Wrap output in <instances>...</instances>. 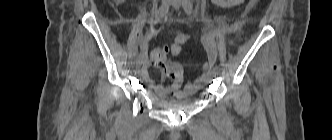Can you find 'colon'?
I'll return each mask as SVG.
<instances>
[{"label": "colon", "mask_w": 332, "mask_h": 140, "mask_svg": "<svg viewBox=\"0 0 332 140\" xmlns=\"http://www.w3.org/2000/svg\"><path fill=\"white\" fill-rule=\"evenodd\" d=\"M115 3H122L124 0H113ZM259 0H251L250 1V7H254ZM169 50V47L165 46L163 48H159L157 50L156 57L159 61H163L166 59L167 52Z\"/></svg>", "instance_id": "obj_1"}]
</instances>
